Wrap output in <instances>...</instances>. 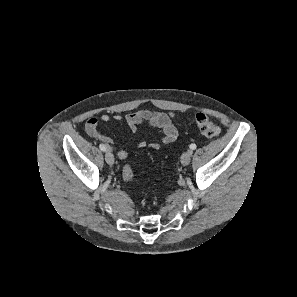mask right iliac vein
Segmentation results:
<instances>
[{
  "label": "right iliac vein",
  "mask_w": 297,
  "mask_h": 297,
  "mask_svg": "<svg viewBox=\"0 0 297 297\" xmlns=\"http://www.w3.org/2000/svg\"><path fill=\"white\" fill-rule=\"evenodd\" d=\"M105 160L110 166L114 163V156L109 150L105 153Z\"/></svg>",
  "instance_id": "1"
}]
</instances>
